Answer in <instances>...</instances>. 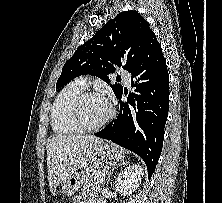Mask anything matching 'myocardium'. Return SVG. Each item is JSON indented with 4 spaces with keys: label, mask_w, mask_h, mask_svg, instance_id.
<instances>
[{
    "label": "myocardium",
    "mask_w": 222,
    "mask_h": 203,
    "mask_svg": "<svg viewBox=\"0 0 222 203\" xmlns=\"http://www.w3.org/2000/svg\"><path fill=\"white\" fill-rule=\"evenodd\" d=\"M90 97H103L104 98V96L101 93L84 91L75 98L70 108V115H71L72 121L82 131H94V130L100 129L103 126H105L115 115V110L113 106L109 103L110 105L109 114L102 121L96 124H88L82 116V104L87 98H90Z\"/></svg>",
    "instance_id": "f54148a6"
}]
</instances>
